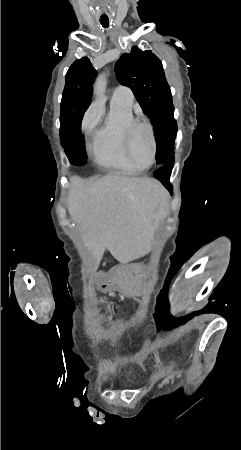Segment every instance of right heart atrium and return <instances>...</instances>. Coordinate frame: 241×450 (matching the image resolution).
Wrapping results in <instances>:
<instances>
[{
	"label": "right heart atrium",
	"instance_id": "d8ad5b80",
	"mask_svg": "<svg viewBox=\"0 0 241 450\" xmlns=\"http://www.w3.org/2000/svg\"><path fill=\"white\" fill-rule=\"evenodd\" d=\"M100 122H101L100 116H87V119L84 122V129L96 130L97 125H100Z\"/></svg>",
	"mask_w": 241,
	"mask_h": 450
}]
</instances>
